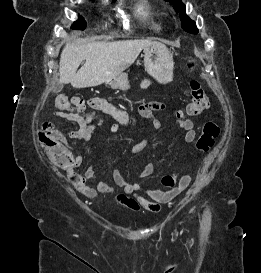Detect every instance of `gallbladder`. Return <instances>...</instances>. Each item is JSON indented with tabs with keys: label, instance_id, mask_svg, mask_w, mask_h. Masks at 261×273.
Listing matches in <instances>:
<instances>
[{
	"label": "gallbladder",
	"instance_id": "bac80fb5",
	"mask_svg": "<svg viewBox=\"0 0 261 273\" xmlns=\"http://www.w3.org/2000/svg\"><path fill=\"white\" fill-rule=\"evenodd\" d=\"M62 89H63V84L58 83V84L55 85L53 91H54L55 93H59L60 91H62Z\"/></svg>",
	"mask_w": 261,
	"mask_h": 273
}]
</instances>
